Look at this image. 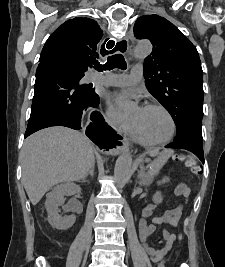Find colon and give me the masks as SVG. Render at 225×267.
<instances>
[{
  "label": "colon",
  "instance_id": "colon-1",
  "mask_svg": "<svg viewBox=\"0 0 225 267\" xmlns=\"http://www.w3.org/2000/svg\"><path fill=\"white\" fill-rule=\"evenodd\" d=\"M180 160L184 161L191 168L193 173L197 174L199 172L198 166L195 164V162L192 159H190L188 157H185V156H181ZM181 241H182V236L179 235V237H178V248L181 246ZM158 267H164V263L161 262Z\"/></svg>",
  "mask_w": 225,
  "mask_h": 267
}]
</instances>
